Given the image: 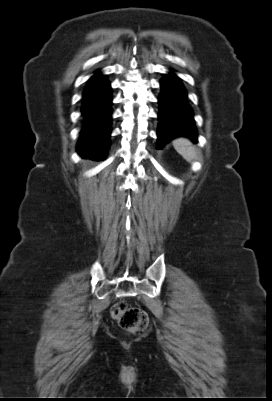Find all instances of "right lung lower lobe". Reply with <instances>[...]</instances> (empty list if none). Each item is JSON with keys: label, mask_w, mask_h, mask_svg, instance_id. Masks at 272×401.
Here are the masks:
<instances>
[{"label": "right lung lower lobe", "mask_w": 272, "mask_h": 401, "mask_svg": "<svg viewBox=\"0 0 272 401\" xmlns=\"http://www.w3.org/2000/svg\"><path fill=\"white\" fill-rule=\"evenodd\" d=\"M111 88L103 75L89 79L83 93L84 128L77 145L84 158L103 160L109 148L111 132Z\"/></svg>", "instance_id": "right-lung-lower-lobe-1"}]
</instances>
